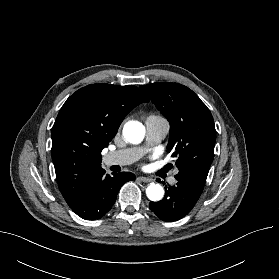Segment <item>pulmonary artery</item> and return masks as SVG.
<instances>
[{
	"label": "pulmonary artery",
	"mask_w": 279,
	"mask_h": 279,
	"mask_svg": "<svg viewBox=\"0 0 279 279\" xmlns=\"http://www.w3.org/2000/svg\"><path fill=\"white\" fill-rule=\"evenodd\" d=\"M146 144L142 147H134L110 152L104 156L103 162L107 166L127 165L137 160L150 146L160 143L169 131V123L162 117H148L145 121ZM170 184L176 183V178H169Z\"/></svg>",
	"instance_id": "obj_1"
}]
</instances>
